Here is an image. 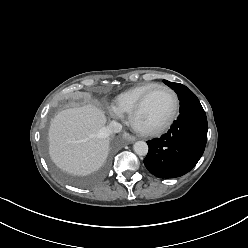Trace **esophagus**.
Masks as SVG:
<instances>
[{
  "mask_svg": "<svg viewBox=\"0 0 248 248\" xmlns=\"http://www.w3.org/2000/svg\"><path fill=\"white\" fill-rule=\"evenodd\" d=\"M125 139L129 142V143H133L134 141H136V137L126 134L125 135Z\"/></svg>",
  "mask_w": 248,
  "mask_h": 248,
  "instance_id": "34e87169",
  "label": "esophagus"
}]
</instances>
